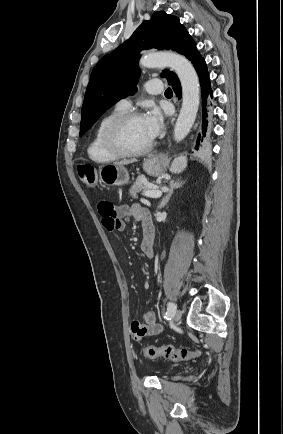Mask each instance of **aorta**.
Returning <instances> with one entry per match:
<instances>
[{
	"label": "aorta",
	"instance_id": "1",
	"mask_svg": "<svg viewBox=\"0 0 283 434\" xmlns=\"http://www.w3.org/2000/svg\"><path fill=\"white\" fill-rule=\"evenodd\" d=\"M145 68L170 67L179 77L182 86V107L174 128V139L181 141L190 132L199 108L200 87L197 73L183 56L174 53H152L140 59Z\"/></svg>",
	"mask_w": 283,
	"mask_h": 434
}]
</instances>
